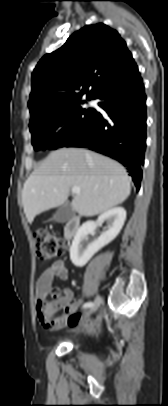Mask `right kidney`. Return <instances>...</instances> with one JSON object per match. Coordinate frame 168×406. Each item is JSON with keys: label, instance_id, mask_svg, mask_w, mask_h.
Masks as SVG:
<instances>
[{"label": "right kidney", "instance_id": "1", "mask_svg": "<svg viewBox=\"0 0 168 406\" xmlns=\"http://www.w3.org/2000/svg\"><path fill=\"white\" fill-rule=\"evenodd\" d=\"M126 219V211L122 207L112 208L101 214L97 221H88L78 229L70 247V259L77 267H83L101 248L109 244L120 233ZM108 222L105 230L99 238L92 243L84 245L87 235L93 232L97 226Z\"/></svg>", "mask_w": 168, "mask_h": 406}]
</instances>
